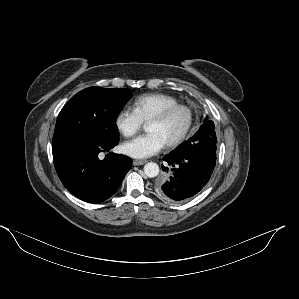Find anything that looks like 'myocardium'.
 <instances>
[{"instance_id":"f54148a6","label":"myocardium","mask_w":299,"mask_h":299,"mask_svg":"<svg viewBox=\"0 0 299 299\" xmlns=\"http://www.w3.org/2000/svg\"><path fill=\"white\" fill-rule=\"evenodd\" d=\"M180 110H183L187 113V122H186L185 126L183 127V129L180 131V133L174 139L170 140L169 142H167L165 144L168 148L178 146L188 136V134L193 126L194 117H195L194 110L192 109V107L187 104H180V103L176 104V105H172V106L164 108L163 110H161L159 113H157L155 116H153L148 121V123L163 122V121L167 120L172 114H174L175 112L180 111Z\"/></svg>"}]
</instances>
